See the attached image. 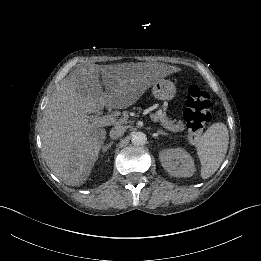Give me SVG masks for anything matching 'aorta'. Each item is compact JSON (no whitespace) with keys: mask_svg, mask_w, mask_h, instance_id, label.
Returning <instances> with one entry per match:
<instances>
[{"mask_svg":"<svg viewBox=\"0 0 261 261\" xmlns=\"http://www.w3.org/2000/svg\"><path fill=\"white\" fill-rule=\"evenodd\" d=\"M131 142L133 145H136V146L145 145L147 142V136L145 133L140 132V131L134 132L132 134Z\"/></svg>","mask_w":261,"mask_h":261,"instance_id":"762f6f07","label":"aorta"}]
</instances>
